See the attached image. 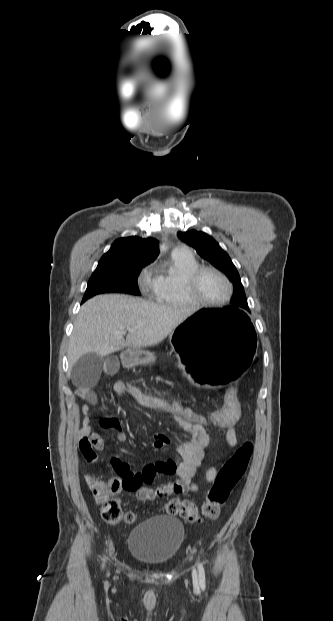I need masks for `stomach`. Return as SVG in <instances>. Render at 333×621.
I'll list each match as a JSON object with an SVG mask.
<instances>
[{"instance_id":"stomach-1","label":"stomach","mask_w":333,"mask_h":621,"mask_svg":"<svg viewBox=\"0 0 333 621\" xmlns=\"http://www.w3.org/2000/svg\"><path fill=\"white\" fill-rule=\"evenodd\" d=\"M169 339L179 351L183 372L193 368L194 384L209 391H221L236 384L254 363L253 325L245 313L230 307L185 314ZM123 358L128 364H146L153 354L128 348Z\"/></svg>"}]
</instances>
